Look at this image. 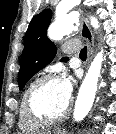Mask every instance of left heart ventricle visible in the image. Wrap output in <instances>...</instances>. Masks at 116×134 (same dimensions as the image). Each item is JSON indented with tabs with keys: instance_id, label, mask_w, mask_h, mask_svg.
<instances>
[{
	"instance_id": "b2bd125f",
	"label": "left heart ventricle",
	"mask_w": 116,
	"mask_h": 134,
	"mask_svg": "<svg viewBox=\"0 0 116 134\" xmlns=\"http://www.w3.org/2000/svg\"><path fill=\"white\" fill-rule=\"evenodd\" d=\"M36 103L40 111L52 115L63 113L69 105L61 93L58 81L48 83L38 94Z\"/></svg>"
}]
</instances>
